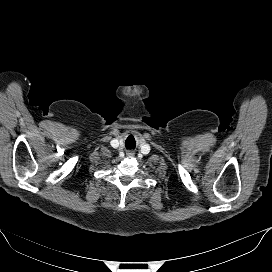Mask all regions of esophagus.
<instances>
[{
    "mask_svg": "<svg viewBox=\"0 0 272 272\" xmlns=\"http://www.w3.org/2000/svg\"><path fill=\"white\" fill-rule=\"evenodd\" d=\"M127 156H128V157H133V156H134V153L131 152V151H129V152H127Z\"/></svg>",
    "mask_w": 272,
    "mask_h": 272,
    "instance_id": "obj_1",
    "label": "esophagus"
}]
</instances>
